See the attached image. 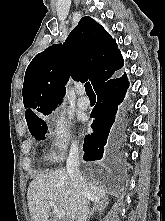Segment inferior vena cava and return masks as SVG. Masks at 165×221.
I'll use <instances>...</instances> for the list:
<instances>
[{
	"mask_svg": "<svg viewBox=\"0 0 165 221\" xmlns=\"http://www.w3.org/2000/svg\"><path fill=\"white\" fill-rule=\"evenodd\" d=\"M79 164V148L76 145H73L70 150L66 168L78 195L77 221H86L89 213V200L92 198V194L79 173Z\"/></svg>",
	"mask_w": 165,
	"mask_h": 221,
	"instance_id": "obj_1",
	"label": "inferior vena cava"
}]
</instances>
